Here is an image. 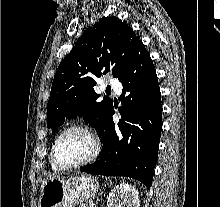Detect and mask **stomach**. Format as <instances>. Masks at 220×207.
I'll use <instances>...</instances> for the list:
<instances>
[{
    "label": "stomach",
    "mask_w": 220,
    "mask_h": 207,
    "mask_svg": "<svg viewBox=\"0 0 220 207\" xmlns=\"http://www.w3.org/2000/svg\"><path fill=\"white\" fill-rule=\"evenodd\" d=\"M98 188V181L84 174L52 177L41 190L38 207H73L75 203L94 196Z\"/></svg>",
    "instance_id": "obj_1"
}]
</instances>
